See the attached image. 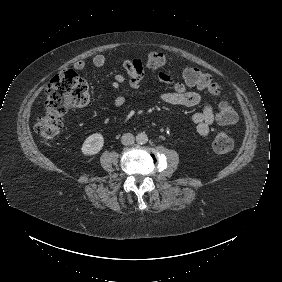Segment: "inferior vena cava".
I'll return each mask as SVG.
<instances>
[{
  "label": "inferior vena cava",
  "mask_w": 282,
  "mask_h": 282,
  "mask_svg": "<svg viewBox=\"0 0 282 282\" xmlns=\"http://www.w3.org/2000/svg\"><path fill=\"white\" fill-rule=\"evenodd\" d=\"M135 141V137L131 133H125L121 137V143L125 146L132 145Z\"/></svg>",
  "instance_id": "1"
}]
</instances>
